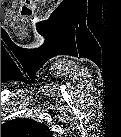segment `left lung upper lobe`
Segmentation results:
<instances>
[{"mask_svg":"<svg viewBox=\"0 0 121 137\" xmlns=\"http://www.w3.org/2000/svg\"><path fill=\"white\" fill-rule=\"evenodd\" d=\"M3 135L9 137H46L52 135L50 129L33 119L16 118L1 125Z\"/></svg>","mask_w":121,"mask_h":137,"instance_id":"left-lung-upper-lobe-1","label":"left lung upper lobe"}]
</instances>
